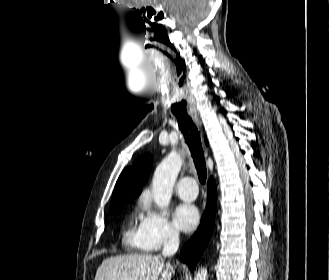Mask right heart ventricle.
<instances>
[{
    "label": "right heart ventricle",
    "mask_w": 329,
    "mask_h": 280,
    "mask_svg": "<svg viewBox=\"0 0 329 280\" xmlns=\"http://www.w3.org/2000/svg\"><path fill=\"white\" fill-rule=\"evenodd\" d=\"M124 245L129 250L142 252L150 250L144 231V219L140 218L137 210L127 224L124 233Z\"/></svg>",
    "instance_id": "obj_1"
}]
</instances>
